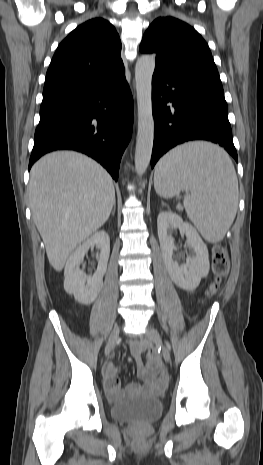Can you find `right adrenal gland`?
<instances>
[{
  "instance_id": "right-adrenal-gland-1",
  "label": "right adrenal gland",
  "mask_w": 263,
  "mask_h": 465,
  "mask_svg": "<svg viewBox=\"0 0 263 465\" xmlns=\"http://www.w3.org/2000/svg\"><path fill=\"white\" fill-rule=\"evenodd\" d=\"M112 215L113 216L115 215V205H114V208H113V211H112Z\"/></svg>"
}]
</instances>
